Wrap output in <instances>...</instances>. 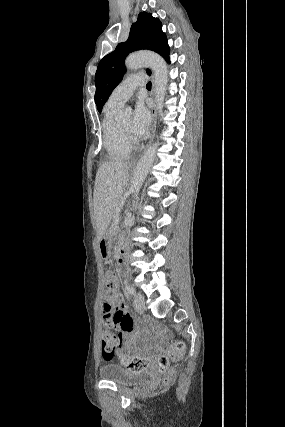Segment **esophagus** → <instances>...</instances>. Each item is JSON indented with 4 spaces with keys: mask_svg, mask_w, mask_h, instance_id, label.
<instances>
[{
    "mask_svg": "<svg viewBox=\"0 0 285 427\" xmlns=\"http://www.w3.org/2000/svg\"><path fill=\"white\" fill-rule=\"evenodd\" d=\"M152 79H153V77H152ZM153 87H154V80H153ZM154 97V96H153ZM151 113H152V132H151V137H150V140H149V143H148V145L152 142V140H153V136H154V133H155V128H156V105H155V102H154V104H153V107H152V111H151ZM137 160L138 159H135V160H133L132 162H131V164L132 165H135L136 163H137Z\"/></svg>",
    "mask_w": 285,
    "mask_h": 427,
    "instance_id": "obj_1",
    "label": "esophagus"
}]
</instances>
